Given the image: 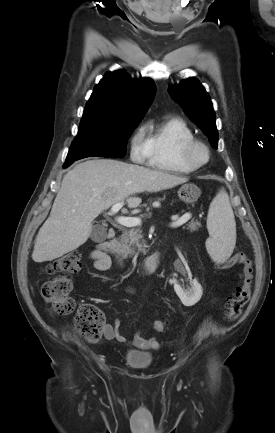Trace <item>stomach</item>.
Listing matches in <instances>:
<instances>
[{
  "mask_svg": "<svg viewBox=\"0 0 275 433\" xmlns=\"http://www.w3.org/2000/svg\"><path fill=\"white\" fill-rule=\"evenodd\" d=\"M178 197L185 203H194L201 195V190L195 184H184L178 190Z\"/></svg>",
  "mask_w": 275,
  "mask_h": 433,
  "instance_id": "1",
  "label": "stomach"
}]
</instances>
